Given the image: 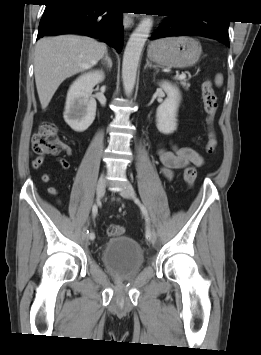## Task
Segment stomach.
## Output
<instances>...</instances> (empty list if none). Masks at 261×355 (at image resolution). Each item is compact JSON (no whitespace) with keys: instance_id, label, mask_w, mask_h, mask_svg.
Masks as SVG:
<instances>
[{"instance_id":"1","label":"stomach","mask_w":261,"mask_h":355,"mask_svg":"<svg viewBox=\"0 0 261 355\" xmlns=\"http://www.w3.org/2000/svg\"><path fill=\"white\" fill-rule=\"evenodd\" d=\"M201 53L202 48L198 41L181 36L152 42L148 47L147 56L161 67L184 68L194 65Z\"/></svg>"}]
</instances>
